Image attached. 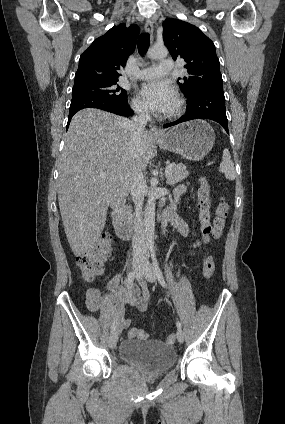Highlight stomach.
<instances>
[{
  "mask_svg": "<svg viewBox=\"0 0 285 424\" xmlns=\"http://www.w3.org/2000/svg\"><path fill=\"white\" fill-rule=\"evenodd\" d=\"M155 141L163 149L196 161L210 152L215 143V133L206 121L194 120L173 127L163 138Z\"/></svg>",
  "mask_w": 285,
  "mask_h": 424,
  "instance_id": "1",
  "label": "stomach"
}]
</instances>
